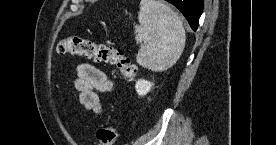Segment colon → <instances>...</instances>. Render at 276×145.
Here are the masks:
<instances>
[{
	"label": "colon",
	"mask_w": 276,
	"mask_h": 145,
	"mask_svg": "<svg viewBox=\"0 0 276 145\" xmlns=\"http://www.w3.org/2000/svg\"><path fill=\"white\" fill-rule=\"evenodd\" d=\"M57 52L60 55L85 56L96 63L113 65L127 80H132L137 73L136 65L121 49L81 36L75 35L62 39L58 43ZM96 136L98 145H115L118 139V129L112 125L101 126Z\"/></svg>",
	"instance_id": "colon-1"
}]
</instances>
